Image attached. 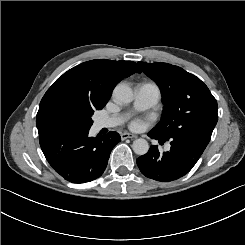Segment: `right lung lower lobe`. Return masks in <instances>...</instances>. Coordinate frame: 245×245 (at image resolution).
I'll use <instances>...</instances> for the list:
<instances>
[{"label": "right lung lower lobe", "mask_w": 245, "mask_h": 245, "mask_svg": "<svg viewBox=\"0 0 245 245\" xmlns=\"http://www.w3.org/2000/svg\"><path fill=\"white\" fill-rule=\"evenodd\" d=\"M89 129L56 130L40 135L41 149L51 167L71 183L100 177L113 147L121 141L117 132L89 137Z\"/></svg>", "instance_id": "1"}]
</instances>
